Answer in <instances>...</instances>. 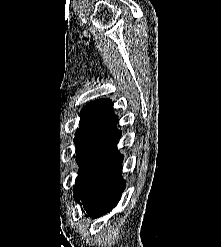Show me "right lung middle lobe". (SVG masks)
Returning <instances> with one entry per match:
<instances>
[{"mask_svg":"<svg viewBox=\"0 0 221 247\" xmlns=\"http://www.w3.org/2000/svg\"><path fill=\"white\" fill-rule=\"evenodd\" d=\"M79 133H80V131H77V132H76V136H77Z\"/></svg>","mask_w":221,"mask_h":247,"instance_id":"obj_1","label":"right lung middle lobe"}]
</instances>
